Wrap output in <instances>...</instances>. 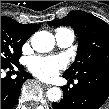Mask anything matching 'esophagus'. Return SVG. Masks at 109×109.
<instances>
[{"label":"esophagus","instance_id":"obj_1","mask_svg":"<svg viewBox=\"0 0 109 109\" xmlns=\"http://www.w3.org/2000/svg\"><path fill=\"white\" fill-rule=\"evenodd\" d=\"M43 87H44L45 89H48V88H50L51 86H50V85H47V84H43Z\"/></svg>","mask_w":109,"mask_h":109}]
</instances>
